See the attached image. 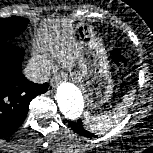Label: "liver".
Segmentation results:
<instances>
[{
    "label": "liver",
    "mask_w": 153,
    "mask_h": 153,
    "mask_svg": "<svg viewBox=\"0 0 153 153\" xmlns=\"http://www.w3.org/2000/svg\"><path fill=\"white\" fill-rule=\"evenodd\" d=\"M48 27L49 31L45 28L39 36V43L48 46L64 67L72 68L75 61H78V51L73 39V20L56 21Z\"/></svg>",
    "instance_id": "1"
}]
</instances>
